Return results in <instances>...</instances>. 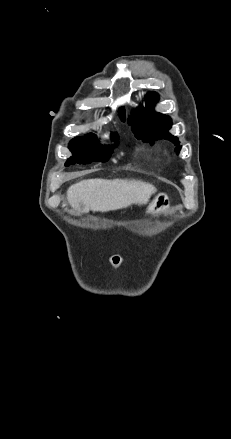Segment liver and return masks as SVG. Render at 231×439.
<instances>
[{
  "label": "liver",
  "mask_w": 231,
  "mask_h": 439,
  "mask_svg": "<svg viewBox=\"0 0 231 439\" xmlns=\"http://www.w3.org/2000/svg\"><path fill=\"white\" fill-rule=\"evenodd\" d=\"M156 191L151 183L137 179H88L71 185L67 200L78 214L108 212L145 205Z\"/></svg>",
  "instance_id": "obj_1"
}]
</instances>
